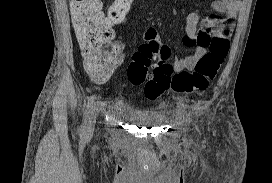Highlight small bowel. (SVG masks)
Returning a JSON list of instances; mask_svg holds the SVG:
<instances>
[{"label": "small bowel", "mask_w": 272, "mask_h": 183, "mask_svg": "<svg viewBox=\"0 0 272 183\" xmlns=\"http://www.w3.org/2000/svg\"><path fill=\"white\" fill-rule=\"evenodd\" d=\"M214 15L202 18L197 12H190L186 16L185 34L182 38L184 45L193 48L191 55L175 59L173 68L176 72L192 69L206 53L208 41L215 35H228L234 28V20L242 8L240 0H215L211 4ZM144 43L158 42L160 36L154 27H148L142 35ZM115 46L120 54L125 47L124 42L117 41ZM113 70L105 79H94L98 83L105 82Z\"/></svg>", "instance_id": "1"}]
</instances>
